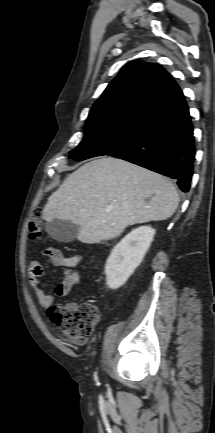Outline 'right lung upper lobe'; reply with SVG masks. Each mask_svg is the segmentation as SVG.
Returning <instances> with one entry per match:
<instances>
[{"mask_svg":"<svg viewBox=\"0 0 215 433\" xmlns=\"http://www.w3.org/2000/svg\"><path fill=\"white\" fill-rule=\"evenodd\" d=\"M182 93L159 65L132 61L107 86L92 107L87 122L122 116H144Z\"/></svg>","mask_w":215,"mask_h":433,"instance_id":"obj_1","label":"right lung upper lobe"}]
</instances>
